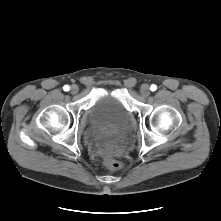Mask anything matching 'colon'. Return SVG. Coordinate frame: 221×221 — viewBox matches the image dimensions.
I'll return each mask as SVG.
<instances>
[{"label": "colon", "mask_w": 221, "mask_h": 221, "mask_svg": "<svg viewBox=\"0 0 221 221\" xmlns=\"http://www.w3.org/2000/svg\"><path fill=\"white\" fill-rule=\"evenodd\" d=\"M105 165L112 170H120L122 168V164L110 155L105 158Z\"/></svg>", "instance_id": "colon-1"}]
</instances>
